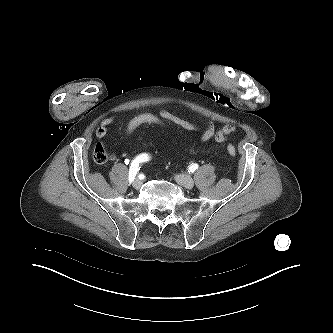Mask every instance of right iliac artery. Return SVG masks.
Segmentation results:
<instances>
[{
  "label": "right iliac artery",
  "mask_w": 333,
  "mask_h": 333,
  "mask_svg": "<svg viewBox=\"0 0 333 333\" xmlns=\"http://www.w3.org/2000/svg\"><path fill=\"white\" fill-rule=\"evenodd\" d=\"M150 159V156L146 153H142L138 155L131 163L130 169H129V176L128 180L129 183H132L135 179V176L137 172L140 170V163L146 162Z\"/></svg>",
  "instance_id": "obj_1"
}]
</instances>
